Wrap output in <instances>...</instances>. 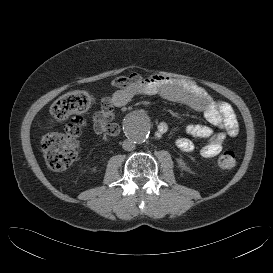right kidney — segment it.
I'll return each mask as SVG.
<instances>
[{"label": "right kidney", "mask_w": 273, "mask_h": 273, "mask_svg": "<svg viewBox=\"0 0 273 273\" xmlns=\"http://www.w3.org/2000/svg\"><path fill=\"white\" fill-rule=\"evenodd\" d=\"M96 170V168H92V171H95Z\"/></svg>", "instance_id": "ca27d5eb"}]
</instances>
